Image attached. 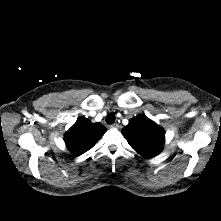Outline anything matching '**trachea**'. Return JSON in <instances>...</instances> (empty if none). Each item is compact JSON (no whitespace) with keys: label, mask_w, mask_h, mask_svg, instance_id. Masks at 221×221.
Masks as SVG:
<instances>
[{"label":"trachea","mask_w":221,"mask_h":221,"mask_svg":"<svg viewBox=\"0 0 221 221\" xmlns=\"http://www.w3.org/2000/svg\"><path fill=\"white\" fill-rule=\"evenodd\" d=\"M106 122L108 124H113L115 122V115L112 113L108 114L106 117Z\"/></svg>","instance_id":"trachea-1"}]
</instances>
